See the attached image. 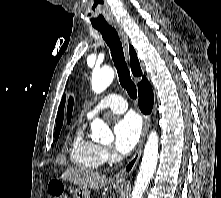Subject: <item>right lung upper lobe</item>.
Masks as SVG:
<instances>
[{"mask_svg": "<svg viewBox=\"0 0 221 198\" xmlns=\"http://www.w3.org/2000/svg\"><path fill=\"white\" fill-rule=\"evenodd\" d=\"M129 51H130V64H131V70L132 73L135 76H141L142 71L140 68V64L136 55V52L132 46H129ZM146 79L145 76L142 77V80ZM64 105H65V96L62 98L58 115H57V120H56V129L55 132L60 131L62 124H63V111H64Z\"/></svg>", "mask_w": 221, "mask_h": 198, "instance_id": "right-lung-upper-lobe-1", "label": "right lung upper lobe"}]
</instances>
